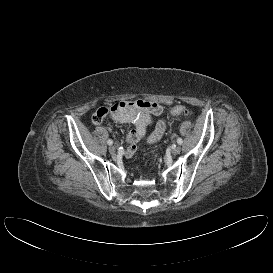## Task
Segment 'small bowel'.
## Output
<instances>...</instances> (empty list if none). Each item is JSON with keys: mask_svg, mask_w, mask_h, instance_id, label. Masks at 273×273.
<instances>
[{"mask_svg": "<svg viewBox=\"0 0 273 273\" xmlns=\"http://www.w3.org/2000/svg\"><path fill=\"white\" fill-rule=\"evenodd\" d=\"M163 108L160 104L146 100L119 101L109 107L99 108L92 116V123L99 125L105 118H110L120 123L132 125L127 134L128 147L125 156L130 158L136 151L137 142L146 139L148 143L158 141L166 130L163 119L154 123V117L161 115ZM154 123V130L146 135L147 127Z\"/></svg>", "mask_w": 273, "mask_h": 273, "instance_id": "small-bowel-1", "label": "small bowel"}]
</instances>
